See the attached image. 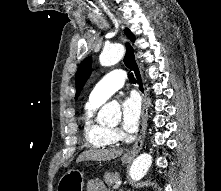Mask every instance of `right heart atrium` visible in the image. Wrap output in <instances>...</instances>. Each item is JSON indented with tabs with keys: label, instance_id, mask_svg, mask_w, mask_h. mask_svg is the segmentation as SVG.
<instances>
[{
	"label": "right heart atrium",
	"instance_id": "1",
	"mask_svg": "<svg viewBox=\"0 0 221 191\" xmlns=\"http://www.w3.org/2000/svg\"><path fill=\"white\" fill-rule=\"evenodd\" d=\"M113 132H114V135H115L116 140L119 139V138H121V133H120L119 130L115 129Z\"/></svg>",
	"mask_w": 221,
	"mask_h": 191
}]
</instances>
